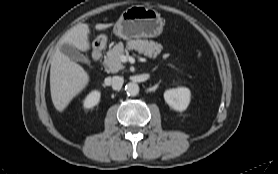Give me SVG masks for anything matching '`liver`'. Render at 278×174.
Segmentation results:
<instances>
[{"label":"liver","instance_id":"1","mask_svg":"<svg viewBox=\"0 0 278 174\" xmlns=\"http://www.w3.org/2000/svg\"><path fill=\"white\" fill-rule=\"evenodd\" d=\"M112 24H97V30H105ZM68 43L75 48L87 52L90 49L88 24L79 23L68 30L59 41L52 56L50 68V91L54 107L63 112L72 99L89 83V75L82 66L64 55L59 47Z\"/></svg>","mask_w":278,"mask_h":174}]
</instances>
